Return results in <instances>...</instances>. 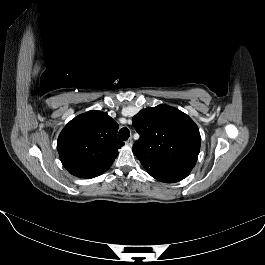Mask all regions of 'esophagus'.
Wrapping results in <instances>:
<instances>
[{
	"mask_svg": "<svg viewBox=\"0 0 265 265\" xmlns=\"http://www.w3.org/2000/svg\"><path fill=\"white\" fill-rule=\"evenodd\" d=\"M126 144H127L128 146H132V139L129 138V139L126 141Z\"/></svg>",
	"mask_w": 265,
	"mask_h": 265,
	"instance_id": "34e87169",
	"label": "esophagus"
}]
</instances>
